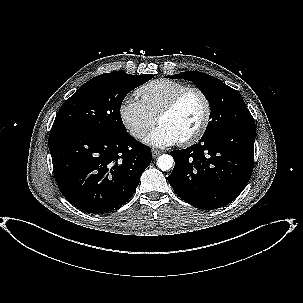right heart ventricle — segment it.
Wrapping results in <instances>:
<instances>
[{
    "label": "right heart ventricle",
    "mask_w": 303,
    "mask_h": 303,
    "mask_svg": "<svg viewBox=\"0 0 303 303\" xmlns=\"http://www.w3.org/2000/svg\"><path fill=\"white\" fill-rule=\"evenodd\" d=\"M188 85L177 80L157 79L153 80L136 91L147 111L157 117L160 110L180 91Z\"/></svg>",
    "instance_id": "obj_1"
}]
</instances>
